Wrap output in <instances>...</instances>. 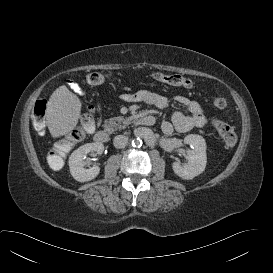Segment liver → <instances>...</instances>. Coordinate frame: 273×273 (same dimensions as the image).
<instances>
[{
    "instance_id": "1",
    "label": "liver",
    "mask_w": 273,
    "mask_h": 273,
    "mask_svg": "<svg viewBox=\"0 0 273 273\" xmlns=\"http://www.w3.org/2000/svg\"><path fill=\"white\" fill-rule=\"evenodd\" d=\"M81 106L79 98L66 86H60L52 93L45 114L52 137L64 136L76 127L81 114Z\"/></svg>"
}]
</instances>
